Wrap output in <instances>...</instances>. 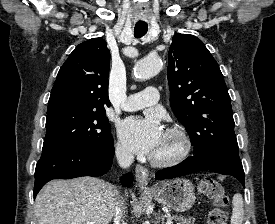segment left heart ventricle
<instances>
[{"label": "left heart ventricle", "mask_w": 275, "mask_h": 224, "mask_svg": "<svg viewBox=\"0 0 275 224\" xmlns=\"http://www.w3.org/2000/svg\"><path fill=\"white\" fill-rule=\"evenodd\" d=\"M175 148V142L164 135L162 143L153 155L164 156L171 153Z\"/></svg>", "instance_id": "left-heart-ventricle-1"}]
</instances>
